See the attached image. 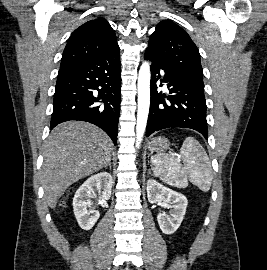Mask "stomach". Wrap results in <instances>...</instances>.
Returning a JSON list of instances; mask_svg holds the SVG:
<instances>
[{"instance_id":"0dacf381","label":"stomach","mask_w":267,"mask_h":270,"mask_svg":"<svg viewBox=\"0 0 267 270\" xmlns=\"http://www.w3.org/2000/svg\"><path fill=\"white\" fill-rule=\"evenodd\" d=\"M147 146L151 152L163 153L168 149L169 141L164 137H157L150 140Z\"/></svg>"}]
</instances>
